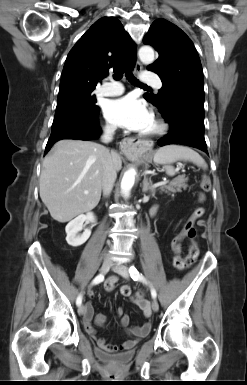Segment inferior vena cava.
Listing matches in <instances>:
<instances>
[{
	"instance_id": "602c4592",
	"label": "inferior vena cava",
	"mask_w": 247,
	"mask_h": 385,
	"mask_svg": "<svg viewBox=\"0 0 247 385\" xmlns=\"http://www.w3.org/2000/svg\"><path fill=\"white\" fill-rule=\"evenodd\" d=\"M115 129L116 128L114 126H106L101 137L102 142H111ZM116 177L117 173L111 155L107 153L103 157L102 189L104 196H108L111 193Z\"/></svg>"
}]
</instances>
